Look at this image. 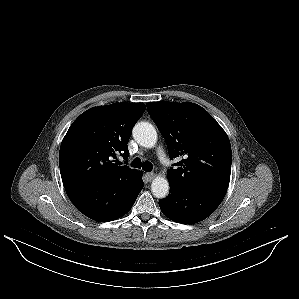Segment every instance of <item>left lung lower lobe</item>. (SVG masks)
Returning a JSON list of instances; mask_svg holds the SVG:
<instances>
[{"label": "left lung lower lobe", "instance_id": "0a47b994", "mask_svg": "<svg viewBox=\"0 0 299 299\" xmlns=\"http://www.w3.org/2000/svg\"><path fill=\"white\" fill-rule=\"evenodd\" d=\"M170 184V194L159 201L165 216L182 224H193L211 215L222 202L226 191L203 185Z\"/></svg>", "mask_w": 299, "mask_h": 299}]
</instances>
